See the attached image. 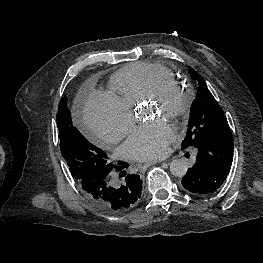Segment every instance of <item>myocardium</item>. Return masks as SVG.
Listing matches in <instances>:
<instances>
[{"label": "myocardium", "instance_id": "f54148a6", "mask_svg": "<svg viewBox=\"0 0 263 263\" xmlns=\"http://www.w3.org/2000/svg\"><path fill=\"white\" fill-rule=\"evenodd\" d=\"M171 98H175L176 102L172 107L164 109V115L171 120H178L189 112L193 102V94L190 89L175 80L161 81L144 100L149 103L165 105Z\"/></svg>", "mask_w": 263, "mask_h": 263}]
</instances>
